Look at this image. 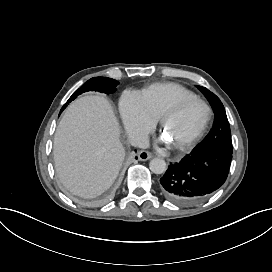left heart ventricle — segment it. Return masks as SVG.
Returning <instances> with one entry per match:
<instances>
[{"label":"left heart ventricle","mask_w":272,"mask_h":272,"mask_svg":"<svg viewBox=\"0 0 272 272\" xmlns=\"http://www.w3.org/2000/svg\"><path fill=\"white\" fill-rule=\"evenodd\" d=\"M202 117L201 107L192 105L180 113L169 114L166 117V128L169 130L170 135L181 142H185L200 124Z\"/></svg>","instance_id":"1"}]
</instances>
